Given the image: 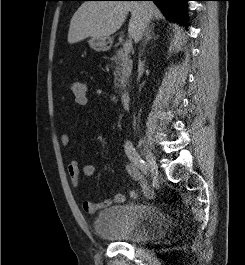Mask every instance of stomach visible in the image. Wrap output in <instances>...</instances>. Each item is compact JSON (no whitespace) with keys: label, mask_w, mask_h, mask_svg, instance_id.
<instances>
[{"label":"stomach","mask_w":245,"mask_h":265,"mask_svg":"<svg viewBox=\"0 0 245 265\" xmlns=\"http://www.w3.org/2000/svg\"><path fill=\"white\" fill-rule=\"evenodd\" d=\"M89 45L96 52H104L110 48L111 40L108 38H91Z\"/></svg>","instance_id":"0dacf381"}]
</instances>
